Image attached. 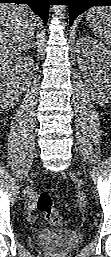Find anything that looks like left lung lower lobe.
Masks as SVG:
<instances>
[{"instance_id": "obj_1", "label": "left lung lower lobe", "mask_w": 111, "mask_h": 257, "mask_svg": "<svg viewBox=\"0 0 111 257\" xmlns=\"http://www.w3.org/2000/svg\"><path fill=\"white\" fill-rule=\"evenodd\" d=\"M70 25L76 17L93 6H111V0H69Z\"/></svg>"}]
</instances>
